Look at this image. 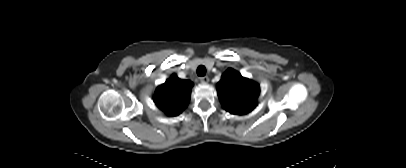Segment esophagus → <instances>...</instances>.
<instances>
[{
  "mask_svg": "<svg viewBox=\"0 0 406 168\" xmlns=\"http://www.w3.org/2000/svg\"><path fill=\"white\" fill-rule=\"evenodd\" d=\"M200 81L204 84H207L209 82V77L208 76H204L200 78Z\"/></svg>",
  "mask_w": 406,
  "mask_h": 168,
  "instance_id": "obj_1",
  "label": "esophagus"
}]
</instances>
